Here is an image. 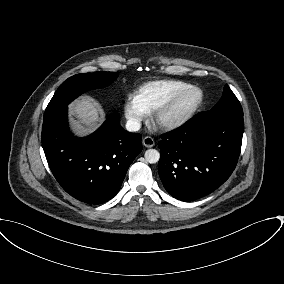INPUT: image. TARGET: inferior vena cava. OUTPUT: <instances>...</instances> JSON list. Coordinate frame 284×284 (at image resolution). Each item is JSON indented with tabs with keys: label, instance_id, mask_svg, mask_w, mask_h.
Here are the masks:
<instances>
[{
	"label": "inferior vena cava",
	"instance_id": "602c4592",
	"mask_svg": "<svg viewBox=\"0 0 284 284\" xmlns=\"http://www.w3.org/2000/svg\"><path fill=\"white\" fill-rule=\"evenodd\" d=\"M141 127V124L137 120H128L126 123V129L129 132H135L138 131Z\"/></svg>",
	"mask_w": 284,
	"mask_h": 284
}]
</instances>
